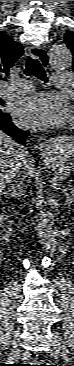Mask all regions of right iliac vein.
<instances>
[{"instance_id":"1","label":"right iliac vein","mask_w":74,"mask_h":366,"mask_svg":"<svg viewBox=\"0 0 74 366\" xmlns=\"http://www.w3.org/2000/svg\"><path fill=\"white\" fill-rule=\"evenodd\" d=\"M16 336H18V331H16ZM12 351H13L14 353H16V352L18 351L16 341L14 342V346H13V348H12Z\"/></svg>"}]
</instances>
